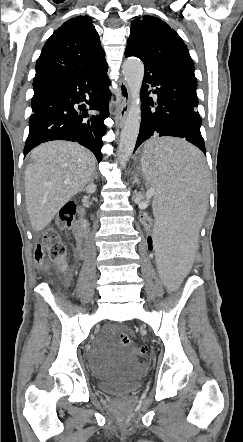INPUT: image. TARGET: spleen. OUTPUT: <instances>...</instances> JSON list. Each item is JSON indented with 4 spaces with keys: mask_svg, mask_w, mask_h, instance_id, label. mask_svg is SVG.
<instances>
[{
    "mask_svg": "<svg viewBox=\"0 0 243 442\" xmlns=\"http://www.w3.org/2000/svg\"><path fill=\"white\" fill-rule=\"evenodd\" d=\"M139 178L153 184V207L160 233L153 253L161 280L179 286L196 251L197 234L205 214L206 167L202 153L184 140L152 139L140 155Z\"/></svg>",
    "mask_w": 243,
    "mask_h": 442,
    "instance_id": "3e777b00",
    "label": "spleen"
}]
</instances>
